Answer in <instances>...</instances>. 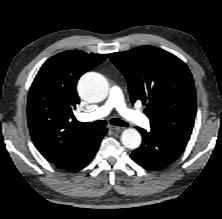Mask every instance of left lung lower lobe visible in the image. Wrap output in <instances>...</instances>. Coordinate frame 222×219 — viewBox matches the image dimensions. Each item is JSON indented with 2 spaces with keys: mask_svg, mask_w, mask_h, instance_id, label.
I'll use <instances>...</instances> for the list:
<instances>
[{
  "mask_svg": "<svg viewBox=\"0 0 222 219\" xmlns=\"http://www.w3.org/2000/svg\"><path fill=\"white\" fill-rule=\"evenodd\" d=\"M137 130L141 133L143 141L130 156L149 170L159 169L174 162L188 142L170 132L153 127L149 132L139 127Z\"/></svg>",
  "mask_w": 222,
  "mask_h": 219,
  "instance_id": "1",
  "label": "left lung lower lobe"
}]
</instances>
